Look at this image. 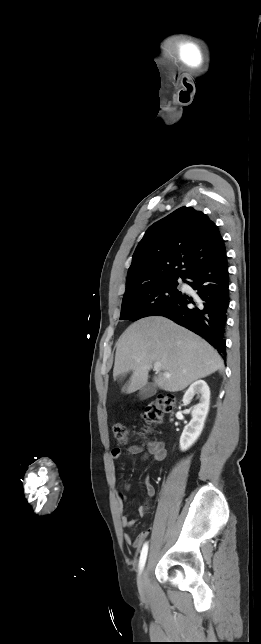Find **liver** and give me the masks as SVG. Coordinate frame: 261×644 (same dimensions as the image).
Masks as SVG:
<instances>
[{"label": "liver", "mask_w": 261, "mask_h": 644, "mask_svg": "<svg viewBox=\"0 0 261 644\" xmlns=\"http://www.w3.org/2000/svg\"><path fill=\"white\" fill-rule=\"evenodd\" d=\"M113 376L133 371L127 393L143 388L153 363L161 370L154 377L156 386L167 392L185 389L194 381L220 371L224 363L217 351L193 332L173 321L151 316L131 324L116 344ZM164 373H169L167 378Z\"/></svg>", "instance_id": "6515ba94"}]
</instances>
